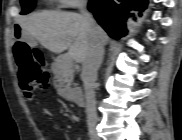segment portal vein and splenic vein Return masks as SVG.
Returning a JSON list of instances; mask_svg holds the SVG:
<instances>
[{"label":"portal vein and splenic vein","mask_w":182,"mask_h":140,"mask_svg":"<svg viewBox=\"0 0 182 140\" xmlns=\"http://www.w3.org/2000/svg\"><path fill=\"white\" fill-rule=\"evenodd\" d=\"M65 61H66V62H72V57L68 54V55L65 57Z\"/></svg>","instance_id":"portal-vein-and-splenic-vein-1"}]
</instances>
